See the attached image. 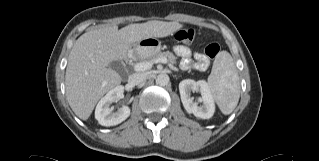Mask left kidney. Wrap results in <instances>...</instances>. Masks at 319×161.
Masks as SVG:
<instances>
[{
  "instance_id": "left-kidney-1",
  "label": "left kidney",
  "mask_w": 319,
  "mask_h": 161,
  "mask_svg": "<svg viewBox=\"0 0 319 161\" xmlns=\"http://www.w3.org/2000/svg\"><path fill=\"white\" fill-rule=\"evenodd\" d=\"M192 91L201 93L199 102H202V105H198L197 102L193 101V97H191ZM179 92L183 106L188 113L202 119H209L213 116L215 112L214 100L205 81L185 79L179 83Z\"/></svg>"
}]
</instances>
